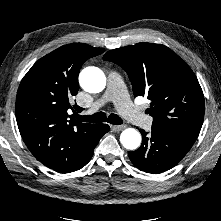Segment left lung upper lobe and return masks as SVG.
I'll use <instances>...</instances> for the list:
<instances>
[{
	"label": "left lung upper lobe",
	"instance_id": "obj_1",
	"mask_svg": "<svg viewBox=\"0 0 221 221\" xmlns=\"http://www.w3.org/2000/svg\"><path fill=\"white\" fill-rule=\"evenodd\" d=\"M103 59L122 67L134 96H147L152 128L194 143L200 133L205 102L200 84L176 53L161 44L137 43L108 51Z\"/></svg>",
	"mask_w": 221,
	"mask_h": 221
}]
</instances>
